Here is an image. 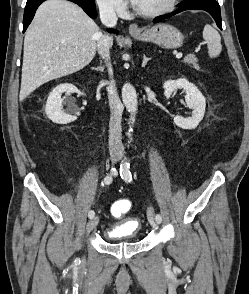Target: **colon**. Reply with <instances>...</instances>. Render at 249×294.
Segmentation results:
<instances>
[{"mask_svg":"<svg viewBox=\"0 0 249 294\" xmlns=\"http://www.w3.org/2000/svg\"><path fill=\"white\" fill-rule=\"evenodd\" d=\"M132 207L131 201L128 199H121L113 204L112 206V214L115 217H121L128 213Z\"/></svg>","mask_w":249,"mask_h":294,"instance_id":"obj_1","label":"colon"}]
</instances>
